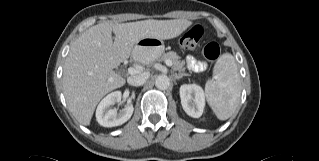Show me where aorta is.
Listing matches in <instances>:
<instances>
[{"label":"aorta","mask_w":319,"mask_h":161,"mask_svg":"<svg viewBox=\"0 0 319 161\" xmlns=\"http://www.w3.org/2000/svg\"><path fill=\"white\" fill-rule=\"evenodd\" d=\"M155 86L159 89V90H166L169 88L170 86V79L167 75H159L156 78L155 81Z\"/></svg>","instance_id":"aorta-1"}]
</instances>
